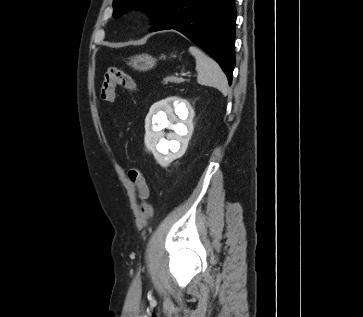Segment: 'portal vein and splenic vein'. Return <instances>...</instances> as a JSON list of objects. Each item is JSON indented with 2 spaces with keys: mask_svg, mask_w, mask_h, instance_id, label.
Listing matches in <instances>:
<instances>
[{
  "mask_svg": "<svg viewBox=\"0 0 363 317\" xmlns=\"http://www.w3.org/2000/svg\"><path fill=\"white\" fill-rule=\"evenodd\" d=\"M181 76L182 77L190 76V73H182Z\"/></svg>",
  "mask_w": 363,
  "mask_h": 317,
  "instance_id": "18ae733b",
  "label": "portal vein and splenic vein"
}]
</instances>
